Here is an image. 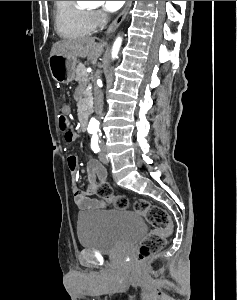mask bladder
Instances as JSON below:
<instances>
[{
  "label": "bladder",
  "mask_w": 237,
  "mask_h": 300,
  "mask_svg": "<svg viewBox=\"0 0 237 300\" xmlns=\"http://www.w3.org/2000/svg\"><path fill=\"white\" fill-rule=\"evenodd\" d=\"M146 230L141 216L127 210L83 213L76 235L79 244L100 254H115L132 245Z\"/></svg>",
  "instance_id": "bladder-1"
}]
</instances>
